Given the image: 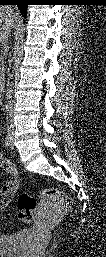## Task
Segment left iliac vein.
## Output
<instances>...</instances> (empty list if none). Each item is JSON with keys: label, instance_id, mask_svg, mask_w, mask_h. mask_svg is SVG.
Returning a JSON list of instances; mask_svg holds the SVG:
<instances>
[{"label": "left iliac vein", "instance_id": "left-iliac-vein-1", "mask_svg": "<svg viewBox=\"0 0 106 257\" xmlns=\"http://www.w3.org/2000/svg\"><path fill=\"white\" fill-rule=\"evenodd\" d=\"M11 147L13 148V138L11 139Z\"/></svg>", "mask_w": 106, "mask_h": 257}]
</instances>
